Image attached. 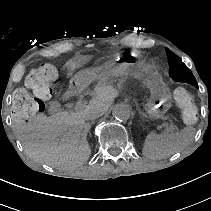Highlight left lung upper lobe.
Instances as JSON below:
<instances>
[{
	"mask_svg": "<svg viewBox=\"0 0 211 211\" xmlns=\"http://www.w3.org/2000/svg\"><path fill=\"white\" fill-rule=\"evenodd\" d=\"M169 62V76L175 81L186 82L198 88L197 81L191 70L175 55L170 49L166 48Z\"/></svg>",
	"mask_w": 211,
	"mask_h": 211,
	"instance_id": "1",
	"label": "left lung upper lobe"
}]
</instances>
